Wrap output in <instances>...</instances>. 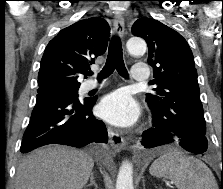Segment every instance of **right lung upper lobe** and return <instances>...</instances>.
<instances>
[{
  "label": "right lung upper lobe",
  "mask_w": 223,
  "mask_h": 189,
  "mask_svg": "<svg viewBox=\"0 0 223 189\" xmlns=\"http://www.w3.org/2000/svg\"><path fill=\"white\" fill-rule=\"evenodd\" d=\"M110 27L102 17L80 20L61 30L47 45L38 73V94L79 88L77 78L106 51Z\"/></svg>",
  "instance_id": "right-lung-upper-lobe-1"
}]
</instances>
